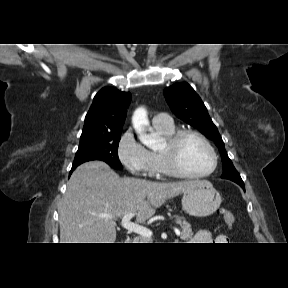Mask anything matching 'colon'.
Here are the masks:
<instances>
[{"label":"colon","instance_id":"1","mask_svg":"<svg viewBox=\"0 0 288 288\" xmlns=\"http://www.w3.org/2000/svg\"><path fill=\"white\" fill-rule=\"evenodd\" d=\"M220 213L223 217L225 227L227 229H232L235 225V216L233 212L227 209H221Z\"/></svg>","mask_w":288,"mask_h":288}]
</instances>
